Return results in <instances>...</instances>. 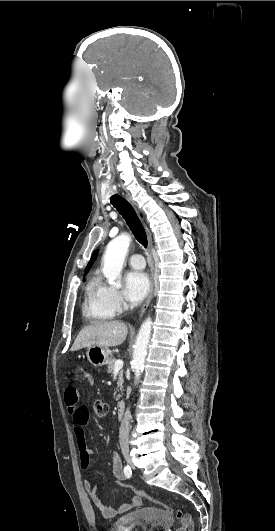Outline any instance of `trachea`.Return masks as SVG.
<instances>
[{
    "label": "trachea",
    "mask_w": 275,
    "mask_h": 531,
    "mask_svg": "<svg viewBox=\"0 0 275 531\" xmlns=\"http://www.w3.org/2000/svg\"><path fill=\"white\" fill-rule=\"evenodd\" d=\"M111 203L117 209V211H119L122 217L125 219L126 224H128L130 230L134 234L137 241H139V243L145 246L146 248L147 247L146 232L136 212L134 211V208L131 206V204L126 199L119 196L118 194H115L114 196L111 197Z\"/></svg>",
    "instance_id": "3493384b"
}]
</instances>
